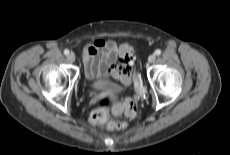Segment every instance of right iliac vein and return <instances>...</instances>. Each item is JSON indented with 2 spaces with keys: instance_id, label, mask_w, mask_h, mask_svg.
I'll return each mask as SVG.
<instances>
[{
  "instance_id": "63e3f726",
  "label": "right iliac vein",
  "mask_w": 230,
  "mask_h": 155,
  "mask_svg": "<svg viewBox=\"0 0 230 155\" xmlns=\"http://www.w3.org/2000/svg\"><path fill=\"white\" fill-rule=\"evenodd\" d=\"M67 60L68 62L73 63L75 61V55L73 53L68 54Z\"/></svg>"
}]
</instances>
